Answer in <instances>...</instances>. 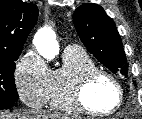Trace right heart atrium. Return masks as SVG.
<instances>
[{"instance_id":"1","label":"right heart atrium","mask_w":142,"mask_h":119,"mask_svg":"<svg viewBox=\"0 0 142 119\" xmlns=\"http://www.w3.org/2000/svg\"><path fill=\"white\" fill-rule=\"evenodd\" d=\"M50 72L45 60L33 49L19 59L14 70V84L26 105L38 108L47 102Z\"/></svg>"}]
</instances>
